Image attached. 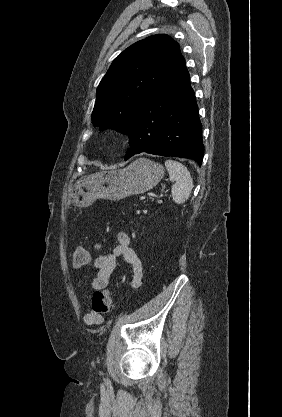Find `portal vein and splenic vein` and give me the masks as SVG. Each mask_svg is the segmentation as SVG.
Masks as SVG:
<instances>
[{"label": "portal vein and splenic vein", "instance_id": "portal-vein-and-splenic-vein-1", "mask_svg": "<svg viewBox=\"0 0 282 417\" xmlns=\"http://www.w3.org/2000/svg\"><path fill=\"white\" fill-rule=\"evenodd\" d=\"M150 196H151V193L150 192H146L145 194H142L141 195L140 200L141 201H144L146 197H150Z\"/></svg>", "mask_w": 282, "mask_h": 417}]
</instances>
